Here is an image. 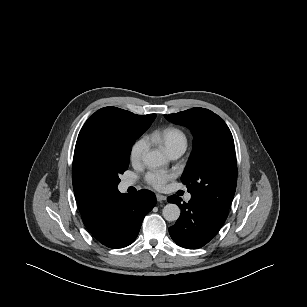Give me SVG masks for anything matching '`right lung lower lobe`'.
I'll list each match as a JSON object with an SVG mask.
<instances>
[{
    "label": "right lung lower lobe",
    "mask_w": 307,
    "mask_h": 307,
    "mask_svg": "<svg viewBox=\"0 0 307 307\" xmlns=\"http://www.w3.org/2000/svg\"><path fill=\"white\" fill-rule=\"evenodd\" d=\"M155 204V194L149 190H140L135 195L118 192L88 231L109 248L126 247L136 239L145 215Z\"/></svg>",
    "instance_id": "98d812e1"
}]
</instances>
